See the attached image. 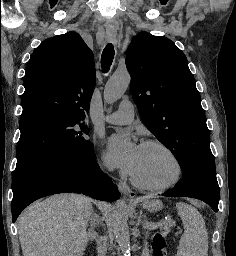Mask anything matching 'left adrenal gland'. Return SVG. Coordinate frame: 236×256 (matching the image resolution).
I'll return each instance as SVG.
<instances>
[{
  "instance_id": "1",
  "label": "left adrenal gland",
  "mask_w": 236,
  "mask_h": 256,
  "mask_svg": "<svg viewBox=\"0 0 236 256\" xmlns=\"http://www.w3.org/2000/svg\"><path fill=\"white\" fill-rule=\"evenodd\" d=\"M141 218H142V212H140V214H139L138 224H141Z\"/></svg>"
}]
</instances>
